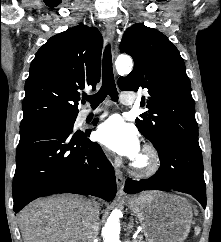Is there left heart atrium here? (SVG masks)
<instances>
[{
    "label": "left heart atrium",
    "mask_w": 221,
    "mask_h": 242,
    "mask_svg": "<svg viewBox=\"0 0 221 242\" xmlns=\"http://www.w3.org/2000/svg\"><path fill=\"white\" fill-rule=\"evenodd\" d=\"M96 136L102 145L119 155L133 159L139 153L140 142L137 130L118 115L100 124Z\"/></svg>",
    "instance_id": "39dd6f15"
}]
</instances>
